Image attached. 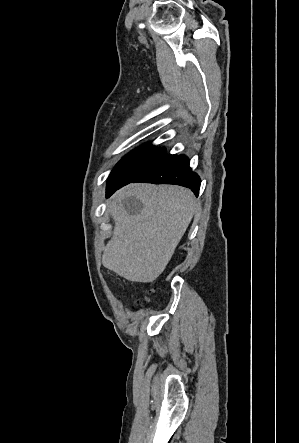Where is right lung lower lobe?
<instances>
[{"label": "right lung lower lobe", "instance_id": "obj_1", "mask_svg": "<svg viewBox=\"0 0 299 443\" xmlns=\"http://www.w3.org/2000/svg\"><path fill=\"white\" fill-rule=\"evenodd\" d=\"M131 182L181 185L190 188L196 196H198L201 183L199 176L191 170L189 159L186 156L171 154L163 157L153 167ZM126 184L128 183L107 187L106 197H109Z\"/></svg>", "mask_w": 299, "mask_h": 443}]
</instances>
